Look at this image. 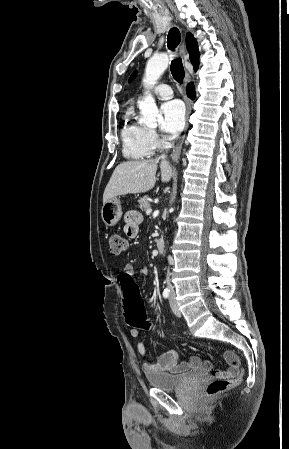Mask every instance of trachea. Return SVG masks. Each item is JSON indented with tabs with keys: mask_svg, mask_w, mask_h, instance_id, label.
Returning a JSON list of instances; mask_svg holds the SVG:
<instances>
[{
	"mask_svg": "<svg viewBox=\"0 0 289 449\" xmlns=\"http://www.w3.org/2000/svg\"><path fill=\"white\" fill-rule=\"evenodd\" d=\"M180 41H181L180 31L176 27L171 28L167 37L168 49L171 51H175ZM170 69L173 78L178 83L181 84L185 77L184 67L181 58H174L171 62Z\"/></svg>",
	"mask_w": 289,
	"mask_h": 449,
	"instance_id": "trachea-1",
	"label": "trachea"
}]
</instances>
